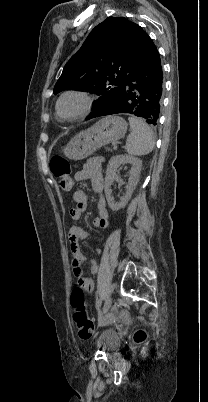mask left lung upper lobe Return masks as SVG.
Returning <instances> with one entry per match:
<instances>
[{"label":"left lung upper lobe","instance_id":"5c2ea615","mask_svg":"<svg viewBox=\"0 0 208 402\" xmlns=\"http://www.w3.org/2000/svg\"><path fill=\"white\" fill-rule=\"evenodd\" d=\"M134 25L123 17L105 19L66 63L55 84L54 93L76 88L100 95L87 120L113 101L119 85L131 70L129 41Z\"/></svg>","mask_w":208,"mask_h":402}]
</instances>
